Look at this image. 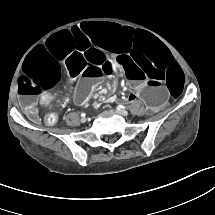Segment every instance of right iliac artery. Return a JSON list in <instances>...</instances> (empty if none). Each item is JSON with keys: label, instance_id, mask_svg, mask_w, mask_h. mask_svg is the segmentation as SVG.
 Wrapping results in <instances>:
<instances>
[{"label": "right iliac artery", "instance_id": "right-iliac-artery-1", "mask_svg": "<svg viewBox=\"0 0 215 215\" xmlns=\"http://www.w3.org/2000/svg\"><path fill=\"white\" fill-rule=\"evenodd\" d=\"M81 116H82V117H84V116H85V114L83 113V114H81Z\"/></svg>", "mask_w": 215, "mask_h": 215}]
</instances>
